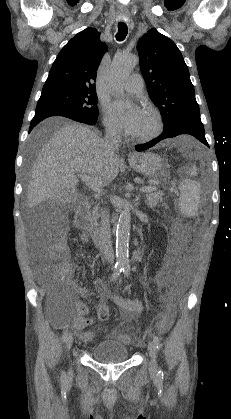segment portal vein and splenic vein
I'll list each match as a JSON object with an SVG mask.
<instances>
[{"instance_id":"18ae733b","label":"portal vein and splenic vein","mask_w":231,"mask_h":419,"mask_svg":"<svg viewBox=\"0 0 231 419\" xmlns=\"http://www.w3.org/2000/svg\"><path fill=\"white\" fill-rule=\"evenodd\" d=\"M78 175H79V177L81 178V180H82L83 182H85V183H86V185H87V186H89L92 190H94V191H96V192H98V193H100V192H101V188H100L97 184H95V183L92 181V179H91V177H90V176H88V175H86V174H83V173H78ZM150 190H153V188H152V187H150V186H142V187L140 188V191H141V192H148V191H150Z\"/></svg>"}]
</instances>
